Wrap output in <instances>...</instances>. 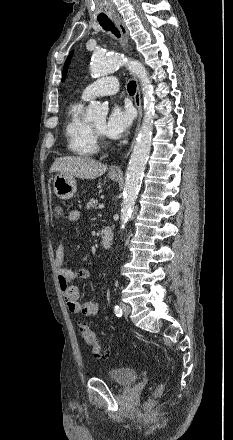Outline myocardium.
Segmentation results:
<instances>
[{
    "label": "myocardium",
    "mask_w": 233,
    "mask_h": 440,
    "mask_svg": "<svg viewBox=\"0 0 233 440\" xmlns=\"http://www.w3.org/2000/svg\"><path fill=\"white\" fill-rule=\"evenodd\" d=\"M92 132L94 136L96 137L97 141H100L103 145L107 144L105 133L97 129L93 124H90Z\"/></svg>",
    "instance_id": "myocardium-1"
}]
</instances>
